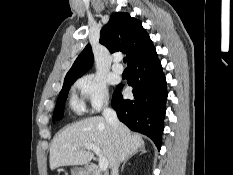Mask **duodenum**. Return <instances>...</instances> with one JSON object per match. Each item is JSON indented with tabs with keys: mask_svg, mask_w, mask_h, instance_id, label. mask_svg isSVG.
I'll return each instance as SVG.
<instances>
[{
	"mask_svg": "<svg viewBox=\"0 0 233 175\" xmlns=\"http://www.w3.org/2000/svg\"><path fill=\"white\" fill-rule=\"evenodd\" d=\"M85 175H97V169L95 167H90L86 170Z\"/></svg>",
	"mask_w": 233,
	"mask_h": 175,
	"instance_id": "410a0bca",
	"label": "duodenum"
}]
</instances>
